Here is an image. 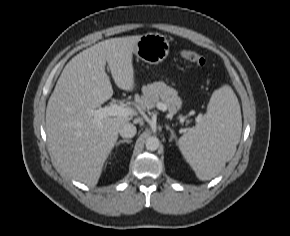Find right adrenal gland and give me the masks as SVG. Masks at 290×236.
<instances>
[{"label": "right adrenal gland", "mask_w": 290, "mask_h": 236, "mask_svg": "<svg viewBox=\"0 0 290 236\" xmlns=\"http://www.w3.org/2000/svg\"><path fill=\"white\" fill-rule=\"evenodd\" d=\"M132 140H129V139H123V140H119L117 143H116V146H119L120 144H123V143H131Z\"/></svg>", "instance_id": "2a0ac1e0"}]
</instances>
